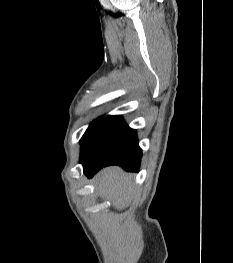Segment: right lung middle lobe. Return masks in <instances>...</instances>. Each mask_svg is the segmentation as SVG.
<instances>
[{"mask_svg": "<svg viewBox=\"0 0 233 263\" xmlns=\"http://www.w3.org/2000/svg\"><path fill=\"white\" fill-rule=\"evenodd\" d=\"M102 119H103V117L98 118L97 120H95L94 122H92V123L90 124V126L88 127V129L86 130V132H85V134L83 135V137H85L87 134H89ZM83 137H82V138H83Z\"/></svg>", "mask_w": 233, "mask_h": 263, "instance_id": "1", "label": "right lung middle lobe"}]
</instances>
